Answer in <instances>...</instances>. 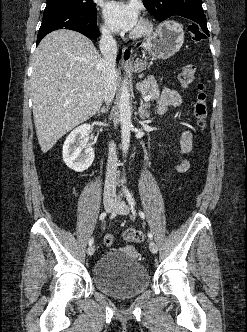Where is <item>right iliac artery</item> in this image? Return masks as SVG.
Returning <instances> with one entry per match:
<instances>
[{
	"mask_svg": "<svg viewBox=\"0 0 247 332\" xmlns=\"http://www.w3.org/2000/svg\"><path fill=\"white\" fill-rule=\"evenodd\" d=\"M120 196H121V195H120ZM120 196H119V199H120ZM106 215H107V213H106V212H103V213H101V215H100L99 219H100V220H104V219H105V217H106ZM93 243H94V239H93V238H91V239L89 240V245L91 246Z\"/></svg>",
	"mask_w": 247,
	"mask_h": 332,
	"instance_id": "82829eb1",
	"label": "right iliac artery"
}]
</instances>
